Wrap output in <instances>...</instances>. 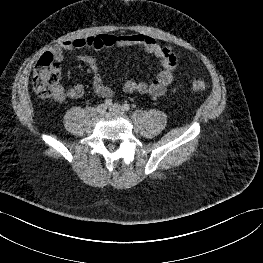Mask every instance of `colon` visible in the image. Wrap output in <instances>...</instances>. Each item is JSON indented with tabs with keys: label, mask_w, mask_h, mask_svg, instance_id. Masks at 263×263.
Instances as JSON below:
<instances>
[{
	"label": "colon",
	"mask_w": 263,
	"mask_h": 263,
	"mask_svg": "<svg viewBox=\"0 0 263 263\" xmlns=\"http://www.w3.org/2000/svg\"><path fill=\"white\" fill-rule=\"evenodd\" d=\"M60 76L59 64L50 53H45L34 68L32 78L34 91L42 97H53L59 87ZM191 88L194 92H204L208 89V82L203 78H194Z\"/></svg>",
	"instance_id": "obj_1"
}]
</instances>
